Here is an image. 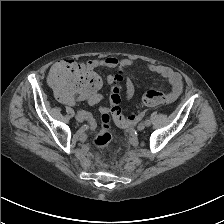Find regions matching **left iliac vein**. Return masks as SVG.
I'll return each mask as SVG.
<instances>
[{"instance_id":"1","label":"left iliac vein","mask_w":224,"mask_h":224,"mask_svg":"<svg viewBox=\"0 0 224 224\" xmlns=\"http://www.w3.org/2000/svg\"><path fill=\"white\" fill-rule=\"evenodd\" d=\"M137 129H138L139 131L144 130V129H145V124H144V123H139L138 126H137Z\"/></svg>"}]
</instances>
